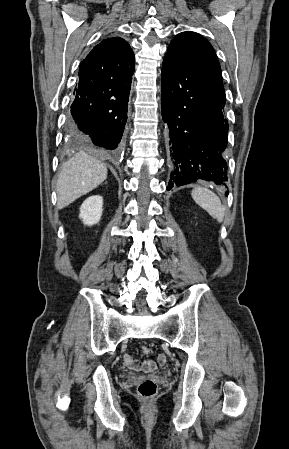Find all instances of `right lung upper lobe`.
Instances as JSON below:
<instances>
[{"instance_id": "1", "label": "right lung upper lobe", "mask_w": 289, "mask_h": 449, "mask_svg": "<svg viewBox=\"0 0 289 449\" xmlns=\"http://www.w3.org/2000/svg\"><path fill=\"white\" fill-rule=\"evenodd\" d=\"M135 66L130 45L122 38L102 40L81 62L79 77L99 79L111 77L121 70Z\"/></svg>"}]
</instances>
